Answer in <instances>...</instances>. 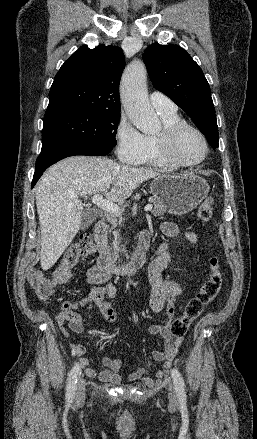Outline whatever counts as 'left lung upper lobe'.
I'll return each mask as SVG.
<instances>
[{"label":"left lung upper lobe","instance_id":"1","mask_svg":"<svg viewBox=\"0 0 257 439\" xmlns=\"http://www.w3.org/2000/svg\"><path fill=\"white\" fill-rule=\"evenodd\" d=\"M153 86L178 104L218 147V126L209 84L197 63L177 45L151 44L143 53Z\"/></svg>","mask_w":257,"mask_h":439}]
</instances>
